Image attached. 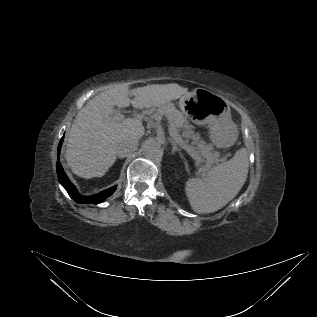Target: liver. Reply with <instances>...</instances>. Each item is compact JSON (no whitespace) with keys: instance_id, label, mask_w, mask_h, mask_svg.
<instances>
[{"instance_id":"6515ba94","label":"liver","mask_w":317,"mask_h":317,"mask_svg":"<svg viewBox=\"0 0 317 317\" xmlns=\"http://www.w3.org/2000/svg\"><path fill=\"white\" fill-rule=\"evenodd\" d=\"M176 83L152 84L129 91L121 84L101 92L78 112L68 132L66 161L82 178L103 176L116 161L115 146L128 138L140 139L145 130L138 118L111 121L114 106L144 109L158 107L188 93ZM133 95V99L128 97Z\"/></svg>"}]
</instances>
